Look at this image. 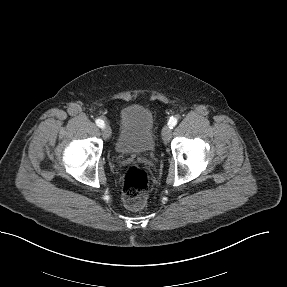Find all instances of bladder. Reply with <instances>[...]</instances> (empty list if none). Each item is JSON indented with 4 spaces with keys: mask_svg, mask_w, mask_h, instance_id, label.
Wrapping results in <instances>:
<instances>
[{
    "mask_svg": "<svg viewBox=\"0 0 287 287\" xmlns=\"http://www.w3.org/2000/svg\"><path fill=\"white\" fill-rule=\"evenodd\" d=\"M155 147L152 112L141 105H129L120 111L115 151L120 155H142Z\"/></svg>",
    "mask_w": 287,
    "mask_h": 287,
    "instance_id": "1",
    "label": "bladder"
}]
</instances>
